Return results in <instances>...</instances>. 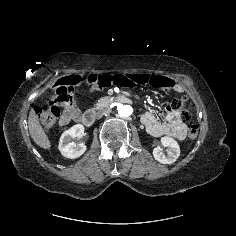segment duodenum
<instances>
[{
    "instance_id": "obj_1",
    "label": "duodenum",
    "mask_w": 236,
    "mask_h": 236,
    "mask_svg": "<svg viewBox=\"0 0 236 236\" xmlns=\"http://www.w3.org/2000/svg\"><path fill=\"white\" fill-rule=\"evenodd\" d=\"M112 103L128 104L131 103V99L124 95H117L113 97L108 104H105L103 108L108 107V105ZM96 114H97L96 110L87 111L81 115L80 120L85 126H92L96 120Z\"/></svg>"
}]
</instances>
